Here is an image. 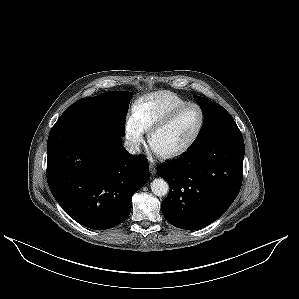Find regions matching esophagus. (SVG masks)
Instances as JSON below:
<instances>
[{"mask_svg":"<svg viewBox=\"0 0 299 299\" xmlns=\"http://www.w3.org/2000/svg\"><path fill=\"white\" fill-rule=\"evenodd\" d=\"M149 172L151 175H155L156 174V168L154 166V164H149Z\"/></svg>","mask_w":299,"mask_h":299,"instance_id":"esophagus-1","label":"esophagus"}]
</instances>
